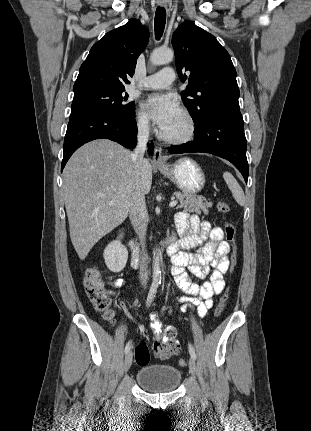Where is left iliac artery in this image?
<instances>
[{"instance_id": "left-iliac-artery-1", "label": "left iliac artery", "mask_w": 311, "mask_h": 431, "mask_svg": "<svg viewBox=\"0 0 311 431\" xmlns=\"http://www.w3.org/2000/svg\"><path fill=\"white\" fill-rule=\"evenodd\" d=\"M188 348H189V353H190L191 357L193 359H196V353H195V350H194L193 346L191 344H189Z\"/></svg>"}]
</instances>
